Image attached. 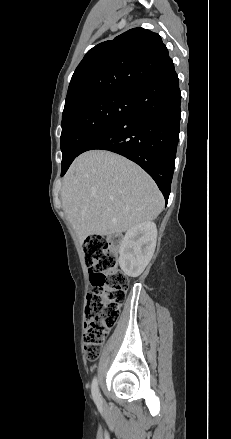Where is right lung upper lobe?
Wrapping results in <instances>:
<instances>
[{"mask_svg":"<svg viewBox=\"0 0 231 439\" xmlns=\"http://www.w3.org/2000/svg\"><path fill=\"white\" fill-rule=\"evenodd\" d=\"M173 68L157 33L130 29L86 53L71 78L64 111L99 95L134 93Z\"/></svg>","mask_w":231,"mask_h":439,"instance_id":"obj_1","label":"right lung upper lobe"}]
</instances>
